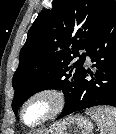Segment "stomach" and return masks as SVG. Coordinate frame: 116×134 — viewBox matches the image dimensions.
I'll use <instances>...</instances> for the list:
<instances>
[{"label": "stomach", "mask_w": 116, "mask_h": 134, "mask_svg": "<svg viewBox=\"0 0 116 134\" xmlns=\"http://www.w3.org/2000/svg\"><path fill=\"white\" fill-rule=\"evenodd\" d=\"M92 122L81 115L69 116L55 122L40 134H92Z\"/></svg>", "instance_id": "1"}]
</instances>
